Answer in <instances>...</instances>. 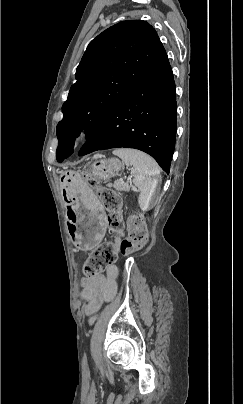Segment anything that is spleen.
Instances as JSON below:
<instances>
[{"mask_svg": "<svg viewBox=\"0 0 243 404\" xmlns=\"http://www.w3.org/2000/svg\"><path fill=\"white\" fill-rule=\"evenodd\" d=\"M113 154L121 158L126 166H133V184L140 190L138 204L142 212H148L152 208L151 202L160 174L158 164L148 154L131 148H117Z\"/></svg>", "mask_w": 243, "mask_h": 404, "instance_id": "1", "label": "spleen"}]
</instances>
